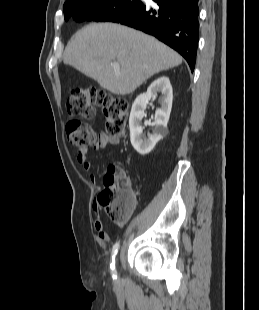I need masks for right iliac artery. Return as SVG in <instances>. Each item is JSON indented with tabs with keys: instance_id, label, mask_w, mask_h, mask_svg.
Wrapping results in <instances>:
<instances>
[{
	"instance_id": "82829eb1",
	"label": "right iliac artery",
	"mask_w": 259,
	"mask_h": 310,
	"mask_svg": "<svg viewBox=\"0 0 259 310\" xmlns=\"http://www.w3.org/2000/svg\"><path fill=\"white\" fill-rule=\"evenodd\" d=\"M119 246H120L119 243H116L112 248L110 269H111L113 279H117V273H116V269H115V257L118 253Z\"/></svg>"
}]
</instances>
